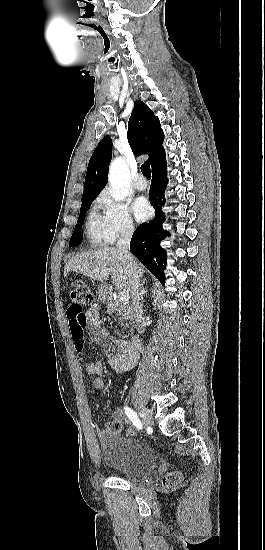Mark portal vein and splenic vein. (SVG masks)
I'll return each instance as SVG.
<instances>
[{
	"label": "portal vein and splenic vein",
	"instance_id": "18ae733b",
	"mask_svg": "<svg viewBox=\"0 0 265 550\" xmlns=\"http://www.w3.org/2000/svg\"><path fill=\"white\" fill-rule=\"evenodd\" d=\"M119 299H120L122 302H128L129 299H130L129 293H128V292H120V294H119Z\"/></svg>",
	"mask_w": 265,
	"mask_h": 550
}]
</instances>
